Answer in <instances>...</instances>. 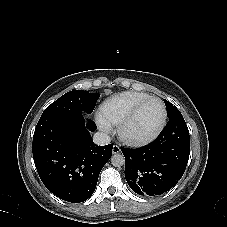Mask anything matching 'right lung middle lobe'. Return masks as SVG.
Listing matches in <instances>:
<instances>
[{
	"instance_id": "obj_1",
	"label": "right lung middle lobe",
	"mask_w": 227,
	"mask_h": 227,
	"mask_svg": "<svg viewBox=\"0 0 227 227\" xmlns=\"http://www.w3.org/2000/svg\"><path fill=\"white\" fill-rule=\"evenodd\" d=\"M99 96L98 93H89V91H70L50 104L41 117L90 114Z\"/></svg>"
}]
</instances>
